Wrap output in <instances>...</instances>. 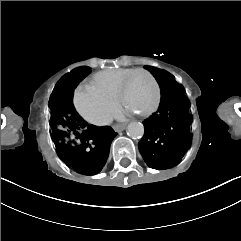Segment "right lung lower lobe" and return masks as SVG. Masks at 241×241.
<instances>
[{
  "label": "right lung lower lobe",
  "instance_id": "98d812e1",
  "mask_svg": "<svg viewBox=\"0 0 241 241\" xmlns=\"http://www.w3.org/2000/svg\"><path fill=\"white\" fill-rule=\"evenodd\" d=\"M89 67L74 70L66 77L68 92L73 94L77 83L90 72ZM68 125L74 134V141L55 143L60 159L71 169L83 175H95L104 167L111 142L117 133L111 127L89 125L75 110L73 101L64 105Z\"/></svg>",
  "mask_w": 241,
  "mask_h": 241
}]
</instances>
